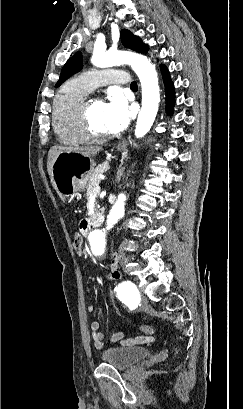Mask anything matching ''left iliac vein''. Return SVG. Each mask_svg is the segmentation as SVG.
Masks as SVG:
<instances>
[{
    "label": "left iliac vein",
    "mask_w": 243,
    "mask_h": 409,
    "mask_svg": "<svg viewBox=\"0 0 243 409\" xmlns=\"http://www.w3.org/2000/svg\"><path fill=\"white\" fill-rule=\"evenodd\" d=\"M141 306H142L143 308L147 306V301H146L145 298H143V299L141 300Z\"/></svg>",
    "instance_id": "4c4485c4"
}]
</instances>
